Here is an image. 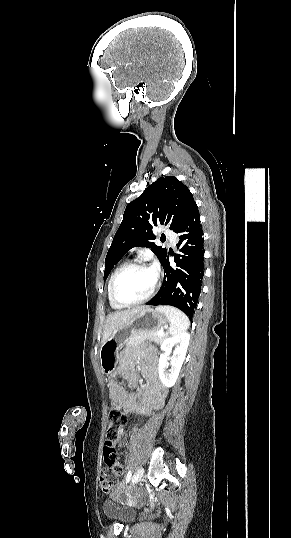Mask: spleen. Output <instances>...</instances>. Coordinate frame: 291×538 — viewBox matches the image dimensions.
I'll return each mask as SVG.
<instances>
[{
  "label": "spleen",
  "instance_id": "spleen-1",
  "mask_svg": "<svg viewBox=\"0 0 291 538\" xmlns=\"http://www.w3.org/2000/svg\"><path fill=\"white\" fill-rule=\"evenodd\" d=\"M156 310L165 314L168 320H170V334H180L189 328V318L181 310L172 306H157Z\"/></svg>",
  "mask_w": 291,
  "mask_h": 538
}]
</instances>
